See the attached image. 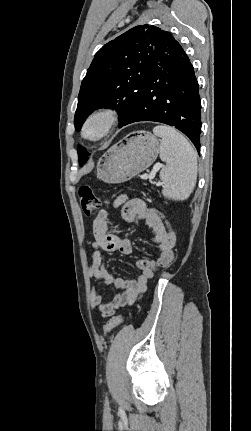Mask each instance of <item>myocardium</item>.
<instances>
[{"label":"myocardium","mask_w":251,"mask_h":431,"mask_svg":"<svg viewBox=\"0 0 251 431\" xmlns=\"http://www.w3.org/2000/svg\"><path fill=\"white\" fill-rule=\"evenodd\" d=\"M119 115L111 108H99L87 115L80 129L81 137L88 142H97L105 138L118 123ZM96 125L98 131L90 135L88 130Z\"/></svg>","instance_id":"f54148a6"}]
</instances>
